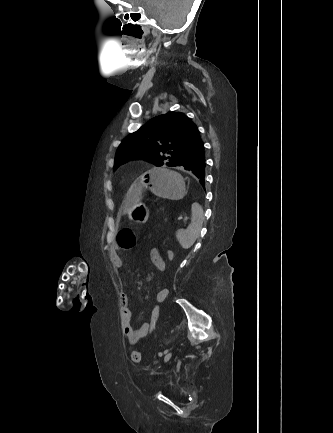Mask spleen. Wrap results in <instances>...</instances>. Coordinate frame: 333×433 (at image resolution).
Masks as SVG:
<instances>
[{
    "instance_id": "1",
    "label": "spleen",
    "mask_w": 333,
    "mask_h": 433,
    "mask_svg": "<svg viewBox=\"0 0 333 433\" xmlns=\"http://www.w3.org/2000/svg\"><path fill=\"white\" fill-rule=\"evenodd\" d=\"M192 221L186 229H179L176 237L184 249L190 248L199 236L203 224V209L198 204L192 205Z\"/></svg>"
}]
</instances>
